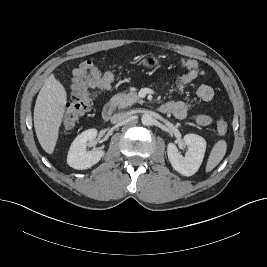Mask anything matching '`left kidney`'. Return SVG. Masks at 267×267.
<instances>
[{
  "instance_id": "left-kidney-1",
  "label": "left kidney",
  "mask_w": 267,
  "mask_h": 267,
  "mask_svg": "<svg viewBox=\"0 0 267 267\" xmlns=\"http://www.w3.org/2000/svg\"><path fill=\"white\" fill-rule=\"evenodd\" d=\"M187 145L185 156H182L175 144L169 143L167 155L172 167L184 176L195 174L202 164L206 141L203 137L196 134H186L183 138Z\"/></svg>"
}]
</instances>
